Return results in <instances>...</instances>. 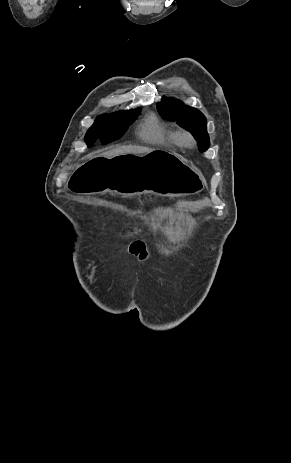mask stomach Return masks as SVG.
I'll list each match as a JSON object with an SVG mask.
<instances>
[{
	"instance_id": "0dacf381",
	"label": "stomach",
	"mask_w": 291,
	"mask_h": 463,
	"mask_svg": "<svg viewBox=\"0 0 291 463\" xmlns=\"http://www.w3.org/2000/svg\"><path fill=\"white\" fill-rule=\"evenodd\" d=\"M204 186V177L195 166L163 150L93 157L67 182V188L78 194L109 191L128 197L145 193L177 197L199 193Z\"/></svg>"
}]
</instances>
